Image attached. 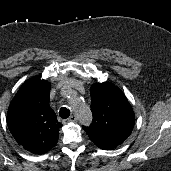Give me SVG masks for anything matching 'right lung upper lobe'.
Instances as JSON below:
<instances>
[{"label":"right lung upper lobe","mask_w":171,"mask_h":171,"mask_svg":"<svg viewBox=\"0 0 171 171\" xmlns=\"http://www.w3.org/2000/svg\"><path fill=\"white\" fill-rule=\"evenodd\" d=\"M51 84L40 78L26 81L10 103L8 128L24 149L44 154L53 148L61 123L49 106Z\"/></svg>","instance_id":"1"}]
</instances>
